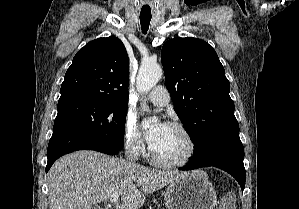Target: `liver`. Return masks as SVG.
I'll return each mask as SVG.
<instances>
[{"label": "liver", "mask_w": 299, "mask_h": 209, "mask_svg": "<svg viewBox=\"0 0 299 209\" xmlns=\"http://www.w3.org/2000/svg\"><path fill=\"white\" fill-rule=\"evenodd\" d=\"M178 170H158L95 151L63 156L48 173L49 209H91L113 194L124 209H139L145 195L186 175Z\"/></svg>", "instance_id": "liver-1"}]
</instances>
